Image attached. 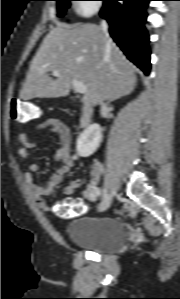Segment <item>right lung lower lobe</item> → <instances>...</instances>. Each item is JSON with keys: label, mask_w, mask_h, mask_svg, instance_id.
Segmentation results:
<instances>
[{"label": "right lung lower lobe", "mask_w": 180, "mask_h": 299, "mask_svg": "<svg viewBox=\"0 0 180 299\" xmlns=\"http://www.w3.org/2000/svg\"><path fill=\"white\" fill-rule=\"evenodd\" d=\"M100 15L110 24V35L127 58L146 75L150 71L148 34L144 24L150 0H103Z\"/></svg>", "instance_id": "right-lung-lower-lobe-1"}]
</instances>
